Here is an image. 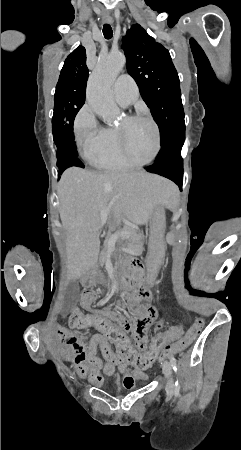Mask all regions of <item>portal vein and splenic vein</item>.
Instances as JSON below:
<instances>
[{
	"mask_svg": "<svg viewBox=\"0 0 241 450\" xmlns=\"http://www.w3.org/2000/svg\"><path fill=\"white\" fill-rule=\"evenodd\" d=\"M115 226V224H113ZM126 231H122L121 233L112 234L111 238L108 240V244H111V242H115L117 240L118 236H128L129 235V228L125 229Z\"/></svg>",
	"mask_w": 241,
	"mask_h": 450,
	"instance_id": "obj_1",
	"label": "portal vein and splenic vein"
}]
</instances>
